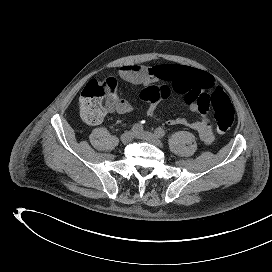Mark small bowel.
Returning <instances> with one entry per match:
<instances>
[{"label": "small bowel", "instance_id": "obj_1", "mask_svg": "<svg viewBox=\"0 0 272 272\" xmlns=\"http://www.w3.org/2000/svg\"><path fill=\"white\" fill-rule=\"evenodd\" d=\"M119 76L126 82L135 85L149 86L151 83L168 82L173 91L184 96L189 110L199 116V120L190 122L184 118L169 119L168 125H183L197 132L200 140L209 145L214 141L211 122L207 114L208 91L215 86L213 75L206 71L188 66L161 64L153 67L144 65H124ZM158 102H147L146 115L156 120ZM136 111V107L125 99L116 98L109 112L127 114Z\"/></svg>", "mask_w": 272, "mask_h": 272}]
</instances>
